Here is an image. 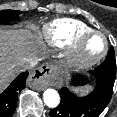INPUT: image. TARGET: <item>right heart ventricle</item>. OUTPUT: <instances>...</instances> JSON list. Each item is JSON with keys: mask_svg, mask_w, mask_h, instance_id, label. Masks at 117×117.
I'll return each instance as SVG.
<instances>
[{"mask_svg": "<svg viewBox=\"0 0 117 117\" xmlns=\"http://www.w3.org/2000/svg\"><path fill=\"white\" fill-rule=\"evenodd\" d=\"M90 30L92 29L80 20L62 18L46 25L43 37L48 44L63 48L68 47L77 35Z\"/></svg>", "mask_w": 117, "mask_h": 117, "instance_id": "1", "label": "right heart ventricle"}]
</instances>
